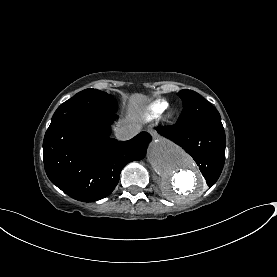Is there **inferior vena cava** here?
Listing matches in <instances>:
<instances>
[{
	"instance_id": "obj_1",
	"label": "inferior vena cava",
	"mask_w": 277,
	"mask_h": 277,
	"mask_svg": "<svg viewBox=\"0 0 277 277\" xmlns=\"http://www.w3.org/2000/svg\"><path fill=\"white\" fill-rule=\"evenodd\" d=\"M141 126L138 124H131L119 127L116 129V138L118 140H130L140 133Z\"/></svg>"
}]
</instances>
